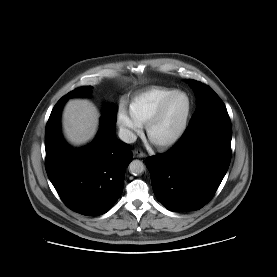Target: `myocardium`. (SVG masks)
I'll return each instance as SVG.
<instances>
[{"instance_id":"myocardium-1","label":"myocardium","mask_w":277,"mask_h":277,"mask_svg":"<svg viewBox=\"0 0 277 277\" xmlns=\"http://www.w3.org/2000/svg\"><path fill=\"white\" fill-rule=\"evenodd\" d=\"M177 95H184L187 98L188 101V107H187V112L186 115L184 117V120L180 126V128L178 129V131L171 136L170 138L163 140V141H154L151 138V132H152V128L154 127V125L158 122V120L160 119V117L162 116L166 106L169 104V102ZM192 109H193V103H192V99L190 97V95L183 91V90H175L174 92H172L171 94H169L167 97H165L160 104L157 106V108L155 109V111L153 112V114L150 116V118L147 120L146 124H145V129H146V134L148 136V138L158 147V148H168L172 145H174L175 143H177L185 134L190 119H191V115H192Z\"/></svg>"}]
</instances>
